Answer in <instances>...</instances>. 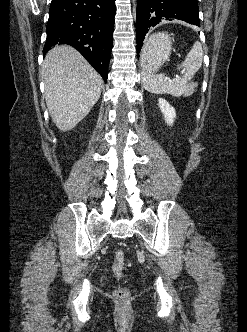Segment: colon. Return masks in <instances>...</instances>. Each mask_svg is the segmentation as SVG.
<instances>
[{"label":"colon","mask_w":247,"mask_h":332,"mask_svg":"<svg viewBox=\"0 0 247 332\" xmlns=\"http://www.w3.org/2000/svg\"><path fill=\"white\" fill-rule=\"evenodd\" d=\"M125 264V253L121 249H117L114 253L113 271L118 278L122 277V272ZM115 297L122 302L130 298V291L125 287H118L115 290Z\"/></svg>","instance_id":"obj_1"}]
</instances>
